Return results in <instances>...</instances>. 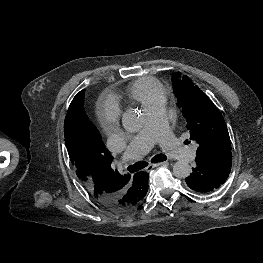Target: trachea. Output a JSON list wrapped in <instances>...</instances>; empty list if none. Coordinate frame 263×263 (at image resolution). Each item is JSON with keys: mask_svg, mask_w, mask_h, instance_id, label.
<instances>
[{"mask_svg": "<svg viewBox=\"0 0 263 263\" xmlns=\"http://www.w3.org/2000/svg\"><path fill=\"white\" fill-rule=\"evenodd\" d=\"M167 159V157L164 155V154H157L155 155L152 159H151V162L152 163H158V162H163ZM148 165L147 162L145 161H142V162H137L133 165H130L127 170L130 172V173H134L136 171H139L143 168H145L146 166Z\"/></svg>", "mask_w": 263, "mask_h": 263, "instance_id": "3493384b", "label": "trachea"}]
</instances>
